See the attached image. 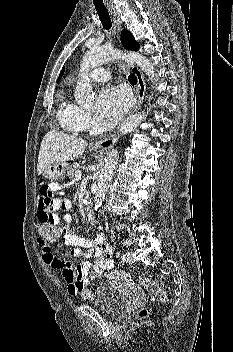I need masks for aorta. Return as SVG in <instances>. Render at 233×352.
<instances>
[{"label":"aorta","mask_w":233,"mask_h":352,"mask_svg":"<svg viewBox=\"0 0 233 352\" xmlns=\"http://www.w3.org/2000/svg\"><path fill=\"white\" fill-rule=\"evenodd\" d=\"M124 58L127 61L136 63L144 72L149 76V79L156 82L154 66L149 62L143 55L130 52L122 55V53L116 49L110 47H92L90 48L83 57L81 62V69L79 73V79L75 87V99L79 104L89 105L94 100V92L92 85L88 78V71L101 65L102 63L118 58ZM144 119V114L136 113L128 117L121 125L120 132L127 134L135 130L141 121ZM118 162V151L112 149L107 154L105 164L99 173L98 183L96 187V193L94 197V209L97 211L101 206L108 190L109 183L113 178L114 171Z\"/></svg>","instance_id":"762f6f07"}]
</instances>
